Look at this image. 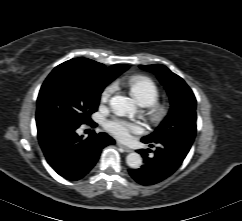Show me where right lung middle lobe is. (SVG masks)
<instances>
[{
  "mask_svg": "<svg viewBox=\"0 0 242 221\" xmlns=\"http://www.w3.org/2000/svg\"><path fill=\"white\" fill-rule=\"evenodd\" d=\"M109 82L64 71L51 72L37 99V126L50 122L79 126L88 122L97 111L100 94Z\"/></svg>",
  "mask_w": 242,
  "mask_h": 221,
  "instance_id": "1",
  "label": "right lung middle lobe"
}]
</instances>
